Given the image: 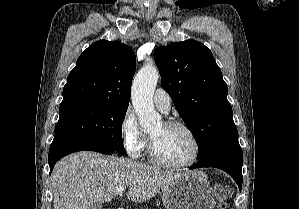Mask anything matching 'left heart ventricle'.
Listing matches in <instances>:
<instances>
[{
    "label": "left heart ventricle",
    "mask_w": 299,
    "mask_h": 209,
    "mask_svg": "<svg viewBox=\"0 0 299 209\" xmlns=\"http://www.w3.org/2000/svg\"><path fill=\"white\" fill-rule=\"evenodd\" d=\"M157 154L171 163L187 162L194 153V143L183 130L167 128L163 123L150 132Z\"/></svg>",
    "instance_id": "left-heart-ventricle-1"
}]
</instances>
